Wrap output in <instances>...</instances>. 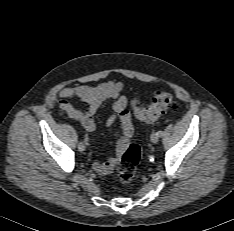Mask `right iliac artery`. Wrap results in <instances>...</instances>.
Instances as JSON below:
<instances>
[{"instance_id":"right-iliac-artery-1","label":"right iliac artery","mask_w":234,"mask_h":231,"mask_svg":"<svg viewBox=\"0 0 234 231\" xmlns=\"http://www.w3.org/2000/svg\"><path fill=\"white\" fill-rule=\"evenodd\" d=\"M84 141L86 144H88V137L87 136H85Z\"/></svg>"}]
</instances>
